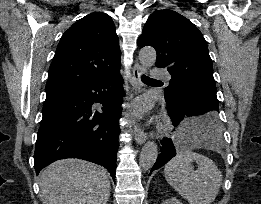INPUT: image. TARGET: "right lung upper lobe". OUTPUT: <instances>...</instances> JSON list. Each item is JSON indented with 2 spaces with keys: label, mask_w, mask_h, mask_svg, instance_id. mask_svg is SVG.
Returning a JSON list of instances; mask_svg holds the SVG:
<instances>
[{
  "label": "right lung upper lobe",
  "mask_w": 261,
  "mask_h": 204,
  "mask_svg": "<svg viewBox=\"0 0 261 204\" xmlns=\"http://www.w3.org/2000/svg\"><path fill=\"white\" fill-rule=\"evenodd\" d=\"M119 39L111 17L91 13L61 37L49 68L46 93L102 78L120 69Z\"/></svg>",
  "instance_id": "cb5924a9"
}]
</instances>
